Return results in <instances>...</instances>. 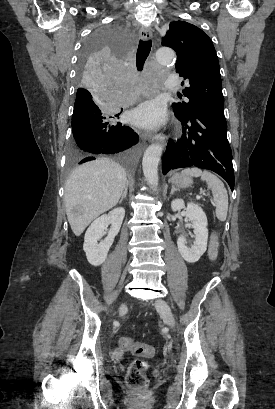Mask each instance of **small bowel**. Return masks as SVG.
<instances>
[{"label":"small bowel","instance_id":"obj_1","mask_svg":"<svg viewBox=\"0 0 275 409\" xmlns=\"http://www.w3.org/2000/svg\"><path fill=\"white\" fill-rule=\"evenodd\" d=\"M218 255V239L216 235H212L209 243V248H208V256L211 260H215ZM115 356L118 360L122 359L123 352L121 350H116L115 351Z\"/></svg>","mask_w":275,"mask_h":409}]
</instances>
